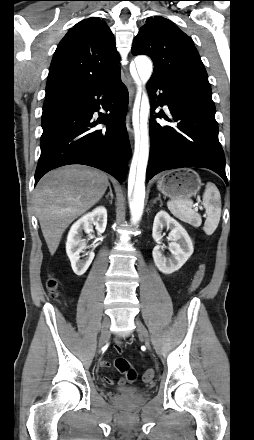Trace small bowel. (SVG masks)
I'll list each match as a JSON object with an SVG mask.
<instances>
[{
	"mask_svg": "<svg viewBox=\"0 0 254 440\" xmlns=\"http://www.w3.org/2000/svg\"><path fill=\"white\" fill-rule=\"evenodd\" d=\"M121 348H122L121 343H120V342H117L116 345H115V349H116L117 351H120ZM100 366H101L102 368H108V367L110 366V363H109V361H107V360H101V362H100ZM103 382H105V383H107V384H112V383L114 382V380H113L112 378H110V377H106V376H105V377H103ZM120 382H122V380H120Z\"/></svg>",
	"mask_w": 254,
	"mask_h": 440,
	"instance_id": "obj_1",
	"label": "small bowel"
}]
</instances>
